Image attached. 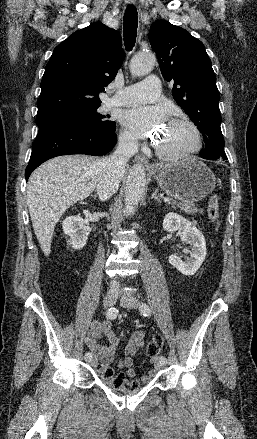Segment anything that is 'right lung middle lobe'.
<instances>
[{
    "instance_id": "1",
    "label": "right lung middle lobe",
    "mask_w": 257,
    "mask_h": 439,
    "mask_svg": "<svg viewBox=\"0 0 257 439\" xmlns=\"http://www.w3.org/2000/svg\"><path fill=\"white\" fill-rule=\"evenodd\" d=\"M100 105L74 110L71 112H67L64 114L48 117L45 119L37 120V125L41 126L46 123L55 122V121H73L82 123L94 128L106 129L114 131L116 124L113 121H110L108 118L110 116L101 115L97 112V109Z\"/></svg>"
}]
</instances>
